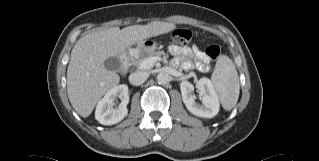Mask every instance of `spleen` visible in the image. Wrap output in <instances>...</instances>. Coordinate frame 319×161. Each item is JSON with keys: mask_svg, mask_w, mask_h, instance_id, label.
Returning a JSON list of instances; mask_svg holds the SVG:
<instances>
[{"mask_svg": "<svg viewBox=\"0 0 319 161\" xmlns=\"http://www.w3.org/2000/svg\"><path fill=\"white\" fill-rule=\"evenodd\" d=\"M211 80L222 107L230 111L238 101L240 84L233 61L227 55L217 59Z\"/></svg>", "mask_w": 319, "mask_h": 161, "instance_id": "spleen-1", "label": "spleen"}]
</instances>
